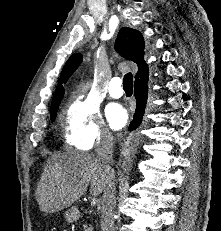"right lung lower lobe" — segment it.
Instances as JSON below:
<instances>
[{"label":"right lung lower lobe","mask_w":221,"mask_h":231,"mask_svg":"<svg viewBox=\"0 0 221 231\" xmlns=\"http://www.w3.org/2000/svg\"><path fill=\"white\" fill-rule=\"evenodd\" d=\"M147 82L148 80L137 83L134 86V95L137 100V106H136L133 121L131 122V125L129 127V131L136 129L142 121L144 110L147 103V96H148Z\"/></svg>","instance_id":"98d812e1"}]
</instances>
